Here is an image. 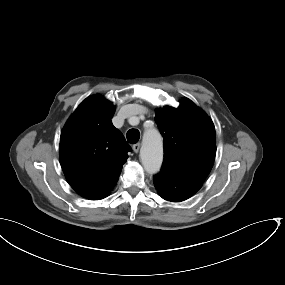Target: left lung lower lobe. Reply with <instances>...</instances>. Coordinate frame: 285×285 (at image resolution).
<instances>
[{"instance_id": "1", "label": "left lung lower lobe", "mask_w": 285, "mask_h": 285, "mask_svg": "<svg viewBox=\"0 0 285 285\" xmlns=\"http://www.w3.org/2000/svg\"><path fill=\"white\" fill-rule=\"evenodd\" d=\"M153 178L159 195L163 199L172 202H180L190 198L202 186L198 182L183 179L164 171H161Z\"/></svg>"}]
</instances>
